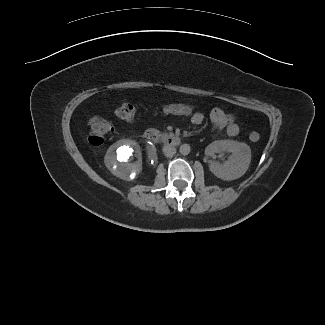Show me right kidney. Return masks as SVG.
<instances>
[{
    "label": "right kidney",
    "instance_id": "1",
    "mask_svg": "<svg viewBox=\"0 0 325 325\" xmlns=\"http://www.w3.org/2000/svg\"><path fill=\"white\" fill-rule=\"evenodd\" d=\"M136 158L135 161H132ZM105 165L117 177L130 180L142 172V153L137 142L122 139L111 145L105 155Z\"/></svg>",
    "mask_w": 325,
    "mask_h": 325
}]
</instances>
